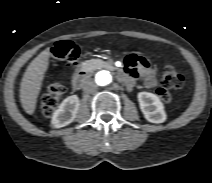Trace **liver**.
<instances>
[{"label": "liver", "instance_id": "6515ba94", "mask_svg": "<svg viewBox=\"0 0 212 183\" xmlns=\"http://www.w3.org/2000/svg\"><path fill=\"white\" fill-rule=\"evenodd\" d=\"M49 48L42 51L27 67L20 85V100L23 109L32 115L41 91L45 72L49 65Z\"/></svg>", "mask_w": 212, "mask_h": 183}]
</instances>
